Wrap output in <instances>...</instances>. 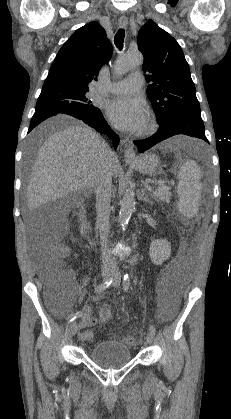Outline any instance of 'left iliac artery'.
<instances>
[{
  "label": "left iliac artery",
  "mask_w": 231,
  "mask_h": 419,
  "mask_svg": "<svg viewBox=\"0 0 231 419\" xmlns=\"http://www.w3.org/2000/svg\"><path fill=\"white\" fill-rule=\"evenodd\" d=\"M129 287H130V277H129L128 274H125L124 279H123V289H124V291L127 292L129 290ZM149 330L153 335H155L156 330H155V327L153 325H150Z\"/></svg>",
  "instance_id": "obj_1"
}]
</instances>
